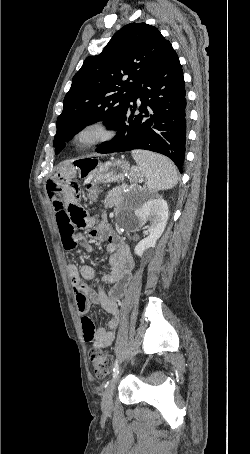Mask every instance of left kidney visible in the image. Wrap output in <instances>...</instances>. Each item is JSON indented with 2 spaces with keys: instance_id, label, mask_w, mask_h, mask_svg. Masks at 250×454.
Wrapping results in <instances>:
<instances>
[{
  "instance_id": "left-kidney-1",
  "label": "left kidney",
  "mask_w": 250,
  "mask_h": 454,
  "mask_svg": "<svg viewBox=\"0 0 250 454\" xmlns=\"http://www.w3.org/2000/svg\"><path fill=\"white\" fill-rule=\"evenodd\" d=\"M135 215L140 225L150 222L149 236L141 240L134 249L136 255L142 256L152 251L165 230L169 215L167 202L161 197L151 198L135 211Z\"/></svg>"
}]
</instances>
